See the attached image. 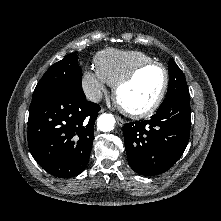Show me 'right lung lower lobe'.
Instances as JSON below:
<instances>
[{
    "label": "right lung lower lobe",
    "instance_id": "98d812e1",
    "mask_svg": "<svg viewBox=\"0 0 221 221\" xmlns=\"http://www.w3.org/2000/svg\"><path fill=\"white\" fill-rule=\"evenodd\" d=\"M100 106L85 95L59 92L29 109L28 147L49 174L70 178L84 171Z\"/></svg>",
    "mask_w": 221,
    "mask_h": 221
}]
</instances>
